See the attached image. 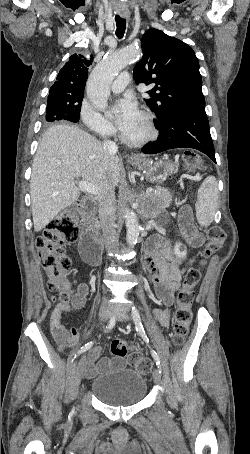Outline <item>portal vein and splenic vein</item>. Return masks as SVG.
Masks as SVG:
<instances>
[{
	"mask_svg": "<svg viewBox=\"0 0 250 454\" xmlns=\"http://www.w3.org/2000/svg\"><path fill=\"white\" fill-rule=\"evenodd\" d=\"M79 190H81L84 193H88L91 195H95L98 193L97 189L89 182L86 181H79L77 183Z\"/></svg>",
	"mask_w": 250,
	"mask_h": 454,
	"instance_id": "portal-vein-and-splenic-vein-1",
	"label": "portal vein and splenic vein"
}]
</instances>
